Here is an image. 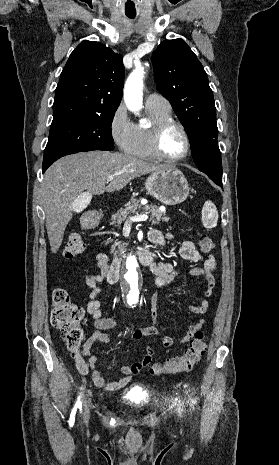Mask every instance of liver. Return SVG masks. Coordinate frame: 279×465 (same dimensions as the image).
Wrapping results in <instances>:
<instances>
[{"instance_id":"6515ba94","label":"liver","mask_w":279,"mask_h":465,"mask_svg":"<svg viewBox=\"0 0 279 465\" xmlns=\"http://www.w3.org/2000/svg\"><path fill=\"white\" fill-rule=\"evenodd\" d=\"M164 168L167 166L108 151L77 153L53 163L43 176L40 190L52 253L61 246L66 226L76 211L73 202L84 191L90 195L118 191L131 180ZM109 176L114 179L108 181Z\"/></svg>"}]
</instances>
